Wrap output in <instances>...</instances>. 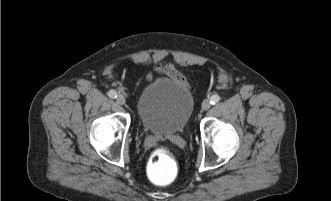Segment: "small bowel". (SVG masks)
I'll use <instances>...</instances> for the list:
<instances>
[{"label":"small bowel","instance_id":"small-bowel-1","mask_svg":"<svg viewBox=\"0 0 331 201\" xmlns=\"http://www.w3.org/2000/svg\"><path fill=\"white\" fill-rule=\"evenodd\" d=\"M155 70L156 72L168 76L173 80L188 84V79L182 73H180L172 64H167V65L158 64ZM147 78L148 80H151L153 78V74L152 73L148 74Z\"/></svg>","mask_w":331,"mask_h":201}]
</instances>
